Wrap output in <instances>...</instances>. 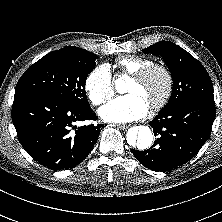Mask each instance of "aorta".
I'll return each mask as SVG.
<instances>
[{
	"mask_svg": "<svg viewBox=\"0 0 222 222\" xmlns=\"http://www.w3.org/2000/svg\"><path fill=\"white\" fill-rule=\"evenodd\" d=\"M117 92L124 93L126 91V84L123 79L115 81ZM153 133L147 126L132 127L128 130L126 139L129 146L136 150H146L153 143Z\"/></svg>",
	"mask_w": 222,
	"mask_h": 222,
	"instance_id": "762f6f07",
	"label": "aorta"
}]
</instances>
